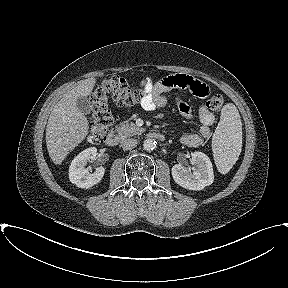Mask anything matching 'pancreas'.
Listing matches in <instances>:
<instances>
[{"mask_svg": "<svg viewBox=\"0 0 288 288\" xmlns=\"http://www.w3.org/2000/svg\"><path fill=\"white\" fill-rule=\"evenodd\" d=\"M116 131L120 136L128 137V136H134L139 135L143 133L145 130L144 128H140L136 126L134 123L128 124L125 122H121L117 127Z\"/></svg>", "mask_w": 288, "mask_h": 288, "instance_id": "1", "label": "pancreas"}]
</instances>
